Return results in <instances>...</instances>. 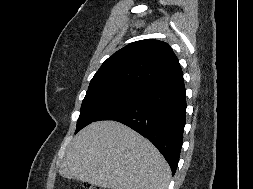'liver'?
I'll return each instance as SVG.
<instances>
[{"label":"liver","instance_id":"obj_1","mask_svg":"<svg viewBox=\"0 0 253 189\" xmlns=\"http://www.w3.org/2000/svg\"><path fill=\"white\" fill-rule=\"evenodd\" d=\"M59 173L110 189H167L171 177L158 149L116 121H97L82 129L67 149Z\"/></svg>","mask_w":253,"mask_h":189}]
</instances>
